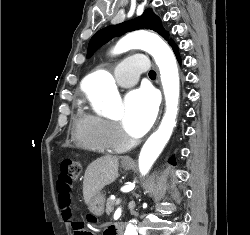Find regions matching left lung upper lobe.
Wrapping results in <instances>:
<instances>
[{
	"instance_id": "5c2ea615",
	"label": "left lung upper lobe",
	"mask_w": 250,
	"mask_h": 235,
	"mask_svg": "<svg viewBox=\"0 0 250 235\" xmlns=\"http://www.w3.org/2000/svg\"><path fill=\"white\" fill-rule=\"evenodd\" d=\"M138 29L154 30L162 35L166 40L168 39V34L164 31L159 17L153 13L152 9L148 8L140 17H137L132 21L124 22L118 25H111L96 32L88 45V57L113 37L121 36L126 32Z\"/></svg>"
}]
</instances>
